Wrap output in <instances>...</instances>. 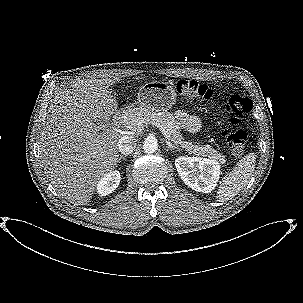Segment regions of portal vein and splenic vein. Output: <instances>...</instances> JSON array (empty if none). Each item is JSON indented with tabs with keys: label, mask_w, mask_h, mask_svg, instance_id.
<instances>
[{
	"label": "portal vein and splenic vein",
	"mask_w": 303,
	"mask_h": 303,
	"mask_svg": "<svg viewBox=\"0 0 303 303\" xmlns=\"http://www.w3.org/2000/svg\"><path fill=\"white\" fill-rule=\"evenodd\" d=\"M152 125L156 126L157 128L160 129V131L162 132V134L165 136V138L170 139V134L168 133L167 129L161 125L160 123H152Z\"/></svg>",
	"instance_id": "obj_1"
}]
</instances>
